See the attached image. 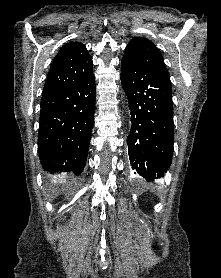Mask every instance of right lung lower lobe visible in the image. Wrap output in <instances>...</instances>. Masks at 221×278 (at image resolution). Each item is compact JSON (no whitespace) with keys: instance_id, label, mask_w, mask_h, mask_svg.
I'll use <instances>...</instances> for the list:
<instances>
[{"instance_id":"1","label":"right lung lower lobe","mask_w":221,"mask_h":278,"mask_svg":"<svg viewBox=\"0 0 221 278\" xmlns=\"http://www.w3.org/2000/svg\"><path fill=\"white\" fill-rule=\"evenodd\" d=\"M94 74L43 92L38 152L51 179L68 181L84 169L95 112Z\"/></svg>"}]
</instances>
